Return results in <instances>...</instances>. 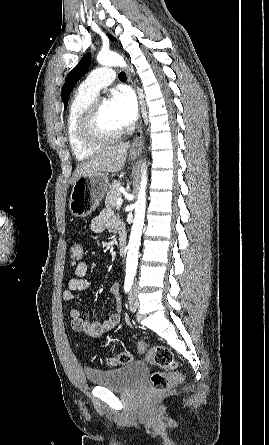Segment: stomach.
<instances>
[{"label": "stomach", "instance_id": "1", "mask_svg": "<svg viewBox=\"0 0 269 445\" xmlns=\"http://www.w3.org/2000/svg\"><path fill=\"white\" fill-rule=\"evenodd\" d=\"M109 186L107 173L83 175L73 184L69 209L74 217L90 215L103 199Z\"/></svg>", "mask_w": 269, "mask_h": 445}]
</instances>
